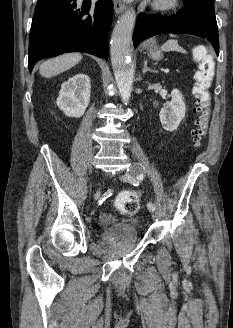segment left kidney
<instances>
[{
	"mask_svg": "<svg viewBox=\"0 0 233 328\" xmlns=\"http://www.w3.org/2000/svg\"><path fill=\"white\" fill-rule=\"evenodd\" d=\"M171 97L172 100L159 113L160 122L167 131L176 130L186 113V106L181 92L178 89H173Z\"/></svg>",
	"mask_w": 233,
	"mask_h": 328,
	"instance_id": "1",
	"label": "left kidney"
}]
</instances>
